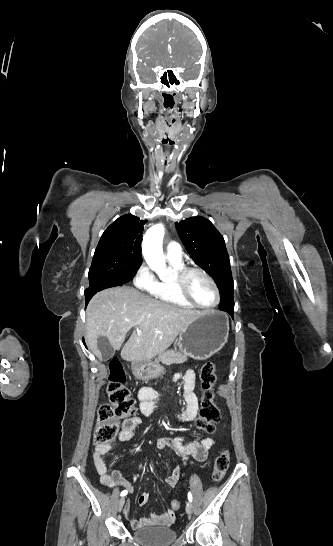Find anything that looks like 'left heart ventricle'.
Instances as JSON below:
<instances>
[{"mask_svg":"<svg viewBox=\"0 0 333 546\" xmlns=\"http://www.w3.org/2000/svg\"><path fill=\"white\" fill-rule=\"evenodd\" d=\"M188 290L194 300L202 305H212L216 300L214 288L199 273H192L188 277Z\"/></svg>","mask_w":333,"mask_h":546,"instance_id":"obj_1","label":"left heart ventricle"}]
</instances>
